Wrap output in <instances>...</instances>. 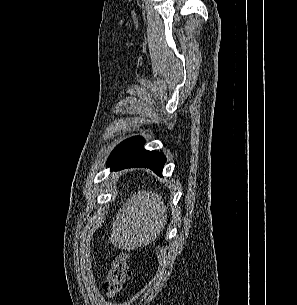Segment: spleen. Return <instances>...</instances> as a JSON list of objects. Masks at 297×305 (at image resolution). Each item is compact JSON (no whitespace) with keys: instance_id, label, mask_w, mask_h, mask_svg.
Returning <instances> with one entry per match:
<instances>
[{"instance_id":"obj_1","label":"spleen","mask_w":297,"mask_h":305,"mask_svg":"<svg viewBox=\"0 0 297 305\" xmlns=\"http://www.w3.org/2000/svg\"><path fill=\"white\" fill-rule=\"evenodd\" d=\"M167 220V208L158 193L133 194L113 220L111 238L115 245L133 249L153 242Z\"/></svg>"}]
</instances>
